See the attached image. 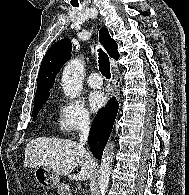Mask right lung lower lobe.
<instances>
[{
	"mask_svg": "<svg viewBox=\"0 0 189 195\" xmlns=\"http://www.w3.org/2000/svg\"><path fill=\"white\" fill-rule=\"evenodd\" d=\"M119 104L113 98L105 107L101 108L90 129L89 132V147L91 152L97 159H101L104 147L111 134L113 124L118 112Z\"/></svg>",
	"mask_w": 189,
	"mask_h": 195,
	"instance_id": "98d812e1",
	"label": "right lung lower lobe"
}]
</instances>
